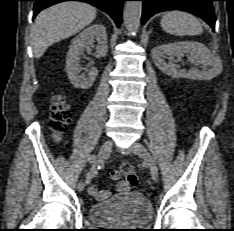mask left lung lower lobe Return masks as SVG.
I'll return each instance as SVG.
<instances>
[{
    "label": "left lung lower lobe",
    "instance_id": "left-lung-lower-lobe-1",
    "mask_svg": "<svg viewBox=\"0 0 234 231\" xmlns=\"http://www.w3.org/2000/svg\"><path fill=\"white\" fill-rule=\"evenodd\" d=\"M143 1L142 24L154 14L167 10L190 12L215 29V14L212 1L215 0H140Z\"/></svg>",
    "mask_w": 234,
    "mask_h": 231
}]
</instances>
